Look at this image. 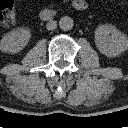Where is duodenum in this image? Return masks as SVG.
Listing matches in <instances>:
<instances>
[{
    "label": "duodenum",
    "instance_id": "duodenum-1",
    "mask_svg": "<svg viewBox=\"0 0 128 128\" xmlns=\"http://www.w3.org/2000/svg\"><path fill=\"white\" fill-rule=\"evenodd\" d=\"M72 6L77 11H84L88 5L85 0H73ZM39 17L43 21H51L55 17V13L53 10L45 8L39 12Z\"/></svg>",
    "mask_w": 128,
    "mask_h": 128
}]
</instances>
